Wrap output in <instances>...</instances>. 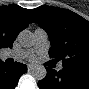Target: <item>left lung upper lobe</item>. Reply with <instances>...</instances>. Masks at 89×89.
<instances>
[{"instance_id":"obj_1","label":"left lung upper lobe","mask_w":89,"mask_h":89,"mask_svg":"<svg viewBox=\"0 0 89 89\" xmlns=\"http://www.w3.org/2000/svg\"><path fill=\"white\" fill-rule=\"evenodd\" d=\"M34 20L49 35V55L63 68L89 70V22L76 13L53 6L31 10Z\"/></svg>"}]
</instances>
